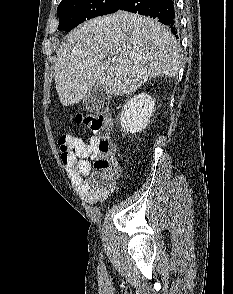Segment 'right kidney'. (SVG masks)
<instances>
[{"label":"right kidney","mask_w":233,"mask_h":294,"mask_svg":"<svg viewBox=\"0 0 233 294\" xmlns=\"http://www.w3.org/2000/svg\"><path fill=\"white\" fill-rule=\"evenodd\" d=\"M155 110V101L146 93L131 98L124 106L120 115L121 129L135 134L146 128Z\"/></svg>","instance_id":"right-kidney-1"}]
</instances>
